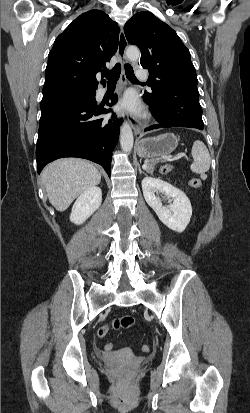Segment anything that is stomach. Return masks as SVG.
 Listing matches in <instances>:
<instances>
[{
    "instance_id": "0dacf381",
    "label": "stomach",
    "mask_w": 250,
    "mask_h": 413,
    "mask_svg": "<svg viewBox=\"0 0 250 413\" xmlns=\"http://www.w3.org/2000/svg\"><path fill=\"white\" fill-rule=\"evenodd\" d=\"M178 141V137L172 133L144 138L137 145V153L140 157L146 158L164 157L176 149Z\"/></svg>"
}]
</instances>
